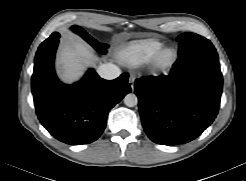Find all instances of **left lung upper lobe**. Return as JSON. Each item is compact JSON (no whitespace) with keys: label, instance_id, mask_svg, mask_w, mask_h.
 I'll return each instance as SVG.
<instances>
[{"label":"left lung upper lobe","instance_id":"1","mask_svg":"<svg viewBox=\"0 0 246 181\" xmlns=\"http://www.w3.org/2000/svg\"><path fill=\"white\" fill-rule=\"evenodd\" d=\"M177 41L180 43L179 54L211 44L208 39L195 33H183L177 37Z\"/></svg>","mask_w":246,"mask_h":181}]
</instances>
